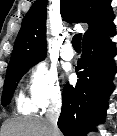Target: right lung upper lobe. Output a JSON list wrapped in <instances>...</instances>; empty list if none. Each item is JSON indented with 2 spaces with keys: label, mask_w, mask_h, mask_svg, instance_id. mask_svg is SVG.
I'll return each instance as SVG.
<instances>
[{
  "label": "right lung upper lobe",
  "mask_w": 117,
  "mask_h": 136,
  "mask_svg": "<svg viewBox=\"0 0 117 136\" xmlns=\"http://www.w3.org/2000/svg\"><path fill=\"white\" fill-rule=\"evenodd\" d=\"M111 0H60L61 16L68 22L89 25L83 40L112 25ZM47 0H36L24 16L9 65L22 60L45 58Z\"/></svg>",
  "instance_id": "cb5924a9"
}]
</instances>
